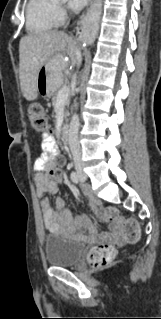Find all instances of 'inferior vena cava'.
<instances>
[{
  "label": "inferior vena cava",
  "mask_w": 161,
  "mask_h": 319,
  "mask_svg": "<svg viewBox=\"0 0 161 319\" xmlns=\"http://www.w3.org/2000/svg\"><path fill=\"white\" fill-rule=\"evenodd\" d=\"M77 66L81 64V53L79 50H76ZM78 130H79V118L76 114L73 115L70 127H69V147L73 156L74 165L76 170L82 169L81 163V150L80 143L78 139Z\"/></svg>",
  "instance_id": "1"
}]
</instances>
